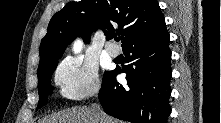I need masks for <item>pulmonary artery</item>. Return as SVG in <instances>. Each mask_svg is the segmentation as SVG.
<instances>
[{
	"label": "pulmonary artery",
	"mask_w": 221,
	"mask_h": 123,
	"mask_svg": "<svg viewBox=\"0 0 221 123\" xmlns=\"http://www.w3.org/2000/svg\"><path fill=\"white\" fill-rule=\"evenodd\" d=\"M106 51L111 57H117L120 53V49L112 43L106 46Z\"/></svg>",
	"instance_id": "obj_1"
}]
</instances>
